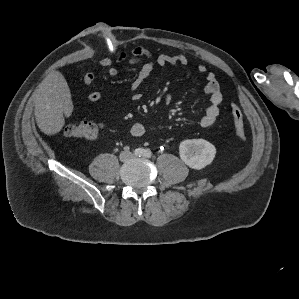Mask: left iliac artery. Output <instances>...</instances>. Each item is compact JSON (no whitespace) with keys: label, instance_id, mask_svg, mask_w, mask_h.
Masks as SVG:
<instances>
[{"label":"left iliac artery","instance_id":"left-iliac-artery-1","mask_svg":"<svg viewBox=\"0 0 299 299\" xmlns=\"http://www.w3.org/2000/svg\"><path fill=\"white\" fill-rule=\"evenodd\" d=\"M152 155L151 151L149 149H145L144 150V153H143V156L146 157V158H150Z\"/></svg>","mask_w":299,"mask_h":299}]
</instances>
